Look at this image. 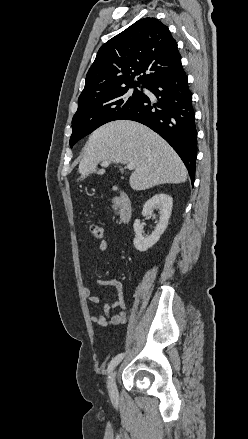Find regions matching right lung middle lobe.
I'll return each mask as SVG.
<instances>
[{"mask_svg":"<svg viewBox=\"0 0 248 439\" xmlns=\"http://www.w3.org/2000/svg\"><path fill=\"white\" fill-rule=\"evenodd\" d=\"M131 88H134V90L131 91ZM143 95L144 93L140 92L135 86H129L79 105L72 119L73 132L70 138V146L73 147L76 142L101 125L118 120Z\"/></svg>","mask_w":248,"mask_h":439,"instance_id":"dd1d6c3e","label":"right lung middle lobe"}]
</instances>
